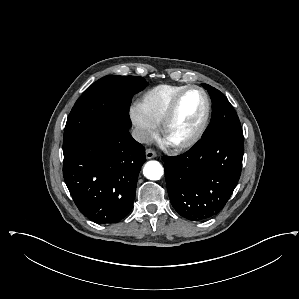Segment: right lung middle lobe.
I'll return each mask as SVG.
<instances>
[{"instance_id":"obj_1","label":"right lung middle lobe","mask_w":299,"mask_h":299,"mask_svg":"<svg viewBox=\"0 0 299 299\" xmlns=\"http://www.w3.org/2000/svg\"><path fill=\"white\" fill-rule=\"evenodd\" d=\"M147 84L142 77L109 75L91 85L68 116L64 130V156L104 130L116 126L130 128L131 99Z\"/></svg>"}]
</instances>
